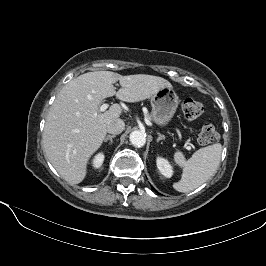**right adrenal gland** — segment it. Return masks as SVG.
<instances>
[{"label":"right adrenal gland","instance_id":"right-adrenal-gland-1","mask_svg":"<svg viewBox=\"0 0 266 266\" xmlns=\"http://www.w3.org/2000/svg\"><path fill=\"white\" fill-rule=\"evenodd\" d=\"M115 137H116L115 134H114V135H108V136L104 139V142L106 143V142L110 141V144L112 145V143H113V138H115Z\"/></svg>","mask_w":266,"mask_h":266}]
</instances>
